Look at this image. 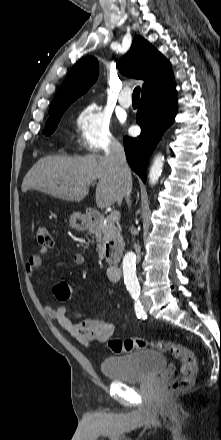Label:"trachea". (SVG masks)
<instances>
[{
	"instance_id": "3493384b",
	"label": "trachea",
	"mask_w": 221,
	"mask_h": 440,
	"mask_svg": "<svg viewBox=\"0 0 221 440\" xmlns=\"http://www.w3.org/2000/svg\"><path fill=\"white\" fill-rule=\"evenodd\" d=\"M133 99H140V87H136L132 95Z\"/></svg>"
}]
</instances>
